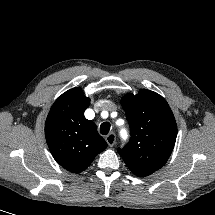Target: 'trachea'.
<instances>
[{"label": "trachea", "mask_w": 215, "mask_h": 215, "mask_svg": "<svg viewBox=\"0 0 215 215\" xmlns=\"http://www.w3.org/2000/svg\"><path fill=\"white\" fill-rule=\"evenodd\" d=\"M110 130V123L109 122H104L100 126V133L103 135H107Z\"/></svg>", "instance_id": "3493384b"}]
</instances>
